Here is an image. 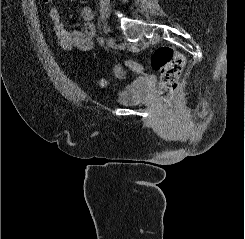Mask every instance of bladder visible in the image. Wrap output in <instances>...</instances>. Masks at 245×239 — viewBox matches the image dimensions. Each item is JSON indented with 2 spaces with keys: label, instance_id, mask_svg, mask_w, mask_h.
I'll return each instance as SVG.
<instances>
[{
  "label": "bladder",
  "instance_id": "31cf9c89",
  "mask_svg": "<svg viewBox=\"0 0 245 239\" xmlns=\"http://www.w3.org/2000/svg\"><path fill=\"white\" fill-rule=\"evenodd\" d=\"M153 83L147 80L135 79L124 86L118 94L117 103L126 105H137L148 99Z\"/></svg>",
  "mask_w": 245,
  "mask_h": 239
}]
</instances>
